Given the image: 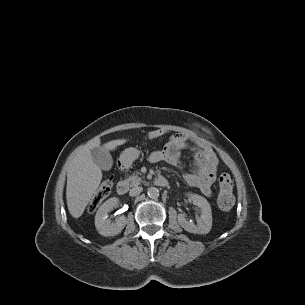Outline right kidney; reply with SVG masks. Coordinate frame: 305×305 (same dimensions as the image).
Instances as JSON below:
<instances>
[{
  "instance_id": "1",
  "label": "right kidney",
  "mask_w": 305,
  "mask_h": 305,
  "mask_svg": "<svg viewBox=\"0 0 305 305\" xmlns=\"http://www.w3.org/2000/svg\"><path fill=\"white\" fill-rule=\"evenodd\" d=\"M118 204V199L113 197L105 201L98 209L95 215V227L98 233L102 236H114L119 234L125 227L127 219L125 216H120L115 220V223L108 219V212Z\"/></svg>"
}]
</instances>
